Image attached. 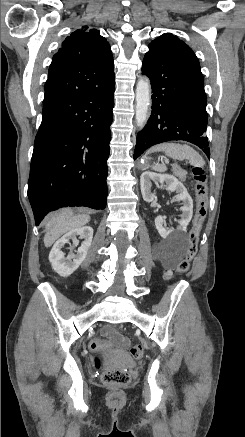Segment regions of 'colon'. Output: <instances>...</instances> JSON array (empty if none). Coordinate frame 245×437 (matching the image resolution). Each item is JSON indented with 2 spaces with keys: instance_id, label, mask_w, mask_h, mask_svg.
I'll list each match as a JSON object with an SVG mask.
<instances>
[{
  "instance_id": "obj_1",
  "label": "colon",
  "mask_w": 245,
  "mask_h": 437,
  "mask_svg": "<svg viewBox=\"0 0 245 437\" xmlns=\"http://www.w3.org/2000/svg\"><path fill=\"white\" fill-rule=\"evenodd\" d=\"M193 177L196 183V212L193 218L192 227L188 235V246L185 257L176 266L175 269L169 270L165 273L167 280L172 279L176 274L186 273L191 266V262L194 259L200 238L201 229L207 215V200H208V187L207 176L203 168L194 167ZM102 346L101 341L94 340L90 347L93 351L100 350ZM130 353L135 359H139L144 354V349L141 345H133L130 348ZM95 365L97 368L101 366L100 358H96ZM101 380L103 383L111 386H124L129 383L130 376L123 370H106L101 374Z\"/></svg>"
}]
</instances>
